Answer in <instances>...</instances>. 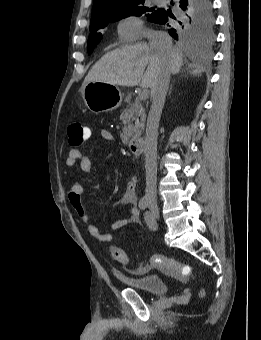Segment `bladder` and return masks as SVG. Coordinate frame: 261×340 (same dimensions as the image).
<instances>
[{
  "label": "bladder",
  "mask_w": 261,
  "mask_h": 340,
  "mask_svg": "<svg viewBox=\"0 0 261 340\" xmlns=\"http://www.w3.org/2000/svg\"><path fill=\"white\" fill-rule=\"evenodd\" d=\"M116 277L128 287L142 293L164 295L168 291V284L166 280L157 274H149L141 277H128L117 274Z\"/></svg>",
  "instance_id": "bladder-1"
}]
</instances>
